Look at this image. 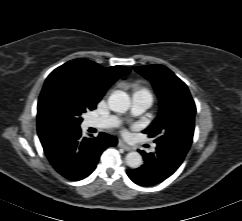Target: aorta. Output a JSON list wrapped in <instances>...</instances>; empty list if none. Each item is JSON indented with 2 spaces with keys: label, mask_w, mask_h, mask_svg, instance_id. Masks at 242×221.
Instances as JSON below:
<instances>
[{
  "label": "aorta",
  "mask_w": 242,
  "mask_h": 221,
  "mask_svg": "<svg viewBox=\"0 0 242 221\" xmlns=\"http://www.w3.org/2000/svg\"><path fill=\"white\" fill-rule=\"evenodd\" d=\"M108 106L114 112L124 113L130 107V99L126 93L115 91L108 98ZM125 162L133 169L139 168L143 163L141 155L136 151L129 152L125 157Z\"/></svg>",
  "instance_id": "1"
}]
</instances>
